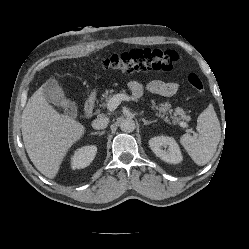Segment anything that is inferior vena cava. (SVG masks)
Instances as JSON below:
<instances>
[{
  "instance_id": "602c4592",
  "label": "inferior vena cava",
  "mask_w": 249,
  "mask_h": 249,
  "mask_svg": "<svg viewBox=\"0 0 249 249\" xmlns=\"http://www.w3.org/2000/svg\"><path fill=\"white\" fill-rule=\"evenodd\" d=\"M108 123H109V118H107V117H98L97 119H95L92 122V127L94 129L100 130V129L106 128Z\"/></svg>"
}]
</instances>
